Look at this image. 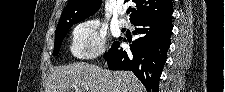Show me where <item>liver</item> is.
Here are the masks:
<instances>
[{"mask_svg": "<svg viewBox=\"0 0 225 92\" xmlns=\"http://www.w3.org/2000/svg\"><path fill=\"white\" fill-rule=\"evenodd\" d=\"M144 92L129 71H109L96 65L73 63L51 69L47 92Z\"/></svg>", "mask_w": 225, "mask_h": 92, "instance_id": "1", "label": "liver"}]
</instances>
